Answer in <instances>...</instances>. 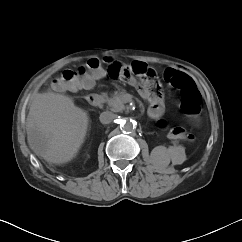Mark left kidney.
Here are the masks:
<instances>
[{
  "instance_id": "left-kidney-1",
  "label": "left kidney",
  "mask_w": 242,
  "mask_h": 242,
  "mask_svg": "<svg viewBox=\"0 0 242 242\" xmlns=\"http://www.w3.org/2000/svg\"><path fill=\"white\" fill-rule=\"evenodd\" d=\"M169 149L164 146H157L151 152V158L156 165L167 166L170 163V157L168 155ZM180 155V158L174 159L175 164H181L185 161V151L180 148L176 151V156Z\"/></svg>"
}]
</instances>
